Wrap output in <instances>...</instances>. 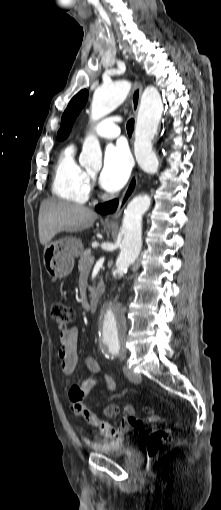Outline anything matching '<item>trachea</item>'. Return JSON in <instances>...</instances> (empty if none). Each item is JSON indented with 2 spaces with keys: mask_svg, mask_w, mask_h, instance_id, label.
<instances>
[{
  "mask_svg": "<svg viewBox=\"0 0 221 510\" xmlns=\"http://www.w3.org/2000/svg\"><path fill=\"white\" fill-rule=\"evenodd\" d=\"M133 129H134V120L133 119H130L127 123V132L129 135L132 134L133 132Z\"/></svg>",
  "mask_w": 221,
  "mask_h": 510,
  "instance_id": "trachea-1",
  "label": "trachea"
}]
</instances>
